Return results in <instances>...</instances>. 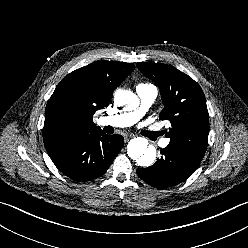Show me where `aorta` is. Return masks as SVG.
I'll list each match as a JSON object with an SVG mask.
<instances>
[{
    "mask_svg": "<svg viewBox=\"0 0 248 248\" xmlns=\"http://www.w3.org/2000/svg\"><path fill=\"white\" fill-rule=\"evenodd\" d=\"M115 102L118 106L126 110H134L139 105L138 97L131 91L119 90L115 94ZM127 153L131 159L143 167L152 165L156 158L154 147L148 146V141L143 137H137L130 140L127 145Z\"/></svg>",
    "mask_w": 248,
    "mask_h": 248,
    "instance_id": "762f6f07",
    "label": "aorta"
}]
</instances>
